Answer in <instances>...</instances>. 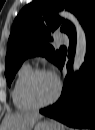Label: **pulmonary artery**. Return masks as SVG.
I'll return each instance as SVG.
<instances>
[{"mask_svg": "<svg viewBox=\"0 0 95 130\" xmlns=\"http://www.w3.org/2000/svg\"><path fill=\"white\" fill-rule=\"evenodd\" d=\"M55 40L59 43H68V38L64 33H57Z\"/></svg>", "mask_w": 95, "mask_h": 130, "instance_id": "1", "label": "pulmonary artery"}]
</instances>
